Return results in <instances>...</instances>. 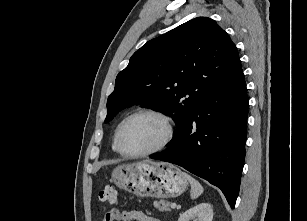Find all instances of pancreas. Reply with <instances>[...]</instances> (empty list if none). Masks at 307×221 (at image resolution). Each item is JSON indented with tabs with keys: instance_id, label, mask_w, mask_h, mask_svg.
<instances>
[{
	"instance_id": "pancreas-1",
	"label": "pancreas",
	"mask_w": 307,
	"mask_h": 221,
	"mask_svg": "<svg viewBox=\"0 0 307 221\" xmlns=\"http://www.w3.org/2000/svg\"><path fill=\"white\" fill-rule=\"evenodd\" d=\"M155 208H157L159 211H169L170 210V202L160 200L159 202L154 203Z\"/></svg>"
}]
</instances>
